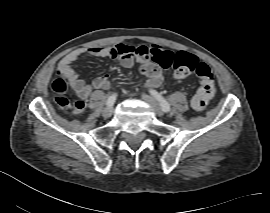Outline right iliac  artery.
<instances>
[{
  "mask_svg": "<svg viewBox=\"0 0 270 213\" xmlns=\"http://www.w3.org/2000/svg\"><path fill=\"white\" fill-rule=\"evenodd\" d=\"M116 100V94H112L107 100V106H113Z\"/></svg>",
  "mask_w": 270,
  "mask_h": 213,
  "instance_id": "1",
  "label": "right iliac artery"
}]
</instances>
